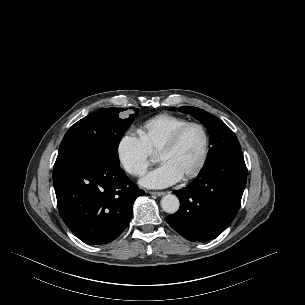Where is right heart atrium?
<instances>
[{
	"mask_svg": "<svg viewBox=\"0 0 305 305\" xmlns=\"http://www.w3.org/2000/svg\"><path fill=\"white\" fill-rule=\"evenodd\" d=\"M117 157L125 171L136 177L145 173L153 159L140 136L133 133H126L119 139Z\"/></svg>",
	"mask_w": 305,
	"mask_h": 305,
	"instance_id": "d8ad5b80",
	"label": "right heart atrium"
}]
</instances>
